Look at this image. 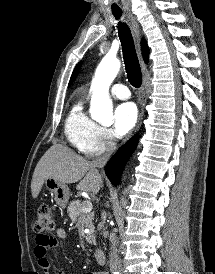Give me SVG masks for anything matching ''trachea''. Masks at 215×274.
<instances>
[{
  "mask_svg": "<svg viewBox=\"0 0 215 274\" xmlns=\"http://www.w3.org/2000/svg\"><path fill=\"white\" fill-rule=\"evenodd\" d=\"M113 15L117 20L122 16L121 13H113ZM118 33L128 80L132 86L139 88L142 84V74L130 28L119 22Z\"/></svg>",
  "mask_w": 215,
  "mask_h": 274,
  "instance_id": "obj_1",
  "label": "trachea"
}]
</instances>
